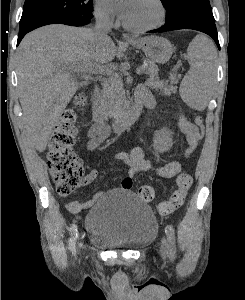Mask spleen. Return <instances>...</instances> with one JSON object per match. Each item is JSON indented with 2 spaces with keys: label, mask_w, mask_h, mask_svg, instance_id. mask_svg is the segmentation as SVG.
<instances>
[{
  "label": "spleen",
  "mask_w": 245,
  "mask_h": 300,
  "mask_svg": "<svg viewBox=\"0 0 245 300\" xmlns=\"http://www.w3.org/2000/svg\"><path fill=\"white\" fill-rule=\"evenodd\" d=\"M190 70L180 85V96L191 108L202 111L212 97L217 51L210 39L199 35L188 46Z\"/></svg>",
  "instance_id": "obj_1"
}]
</instances>
